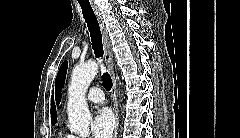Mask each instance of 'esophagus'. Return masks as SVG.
<instances>
[{
  "label": "esophagus",
  "mask_w": 240,
  "mask_h": 138,
  "mask_svg": "<svg viewBox=\"0 0 240 138\" xmlns=\"http://www.w3.org/2000/svg\"><path fill=\"white\" fill-rule=\"evenodd\" d=\"M92 9L96 15V18L99 23L100 31L102 34V42H103V49H104V57L107 62L111 79H112V90H111V97L113 101V110H114V116H115V126H114V133L113 138L117 137L118 134V123H119V117H118V100H117V85H116V78L114 74V62H113V53L111 50L109 38L107 29L105 26V23L103 21L102 15L98 9V7L95 4H92Z\"/></svg>",
  "instance_id": "1"
}]
</instances>
